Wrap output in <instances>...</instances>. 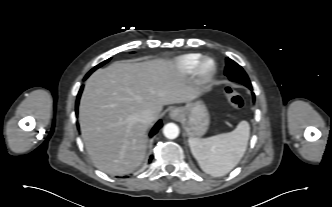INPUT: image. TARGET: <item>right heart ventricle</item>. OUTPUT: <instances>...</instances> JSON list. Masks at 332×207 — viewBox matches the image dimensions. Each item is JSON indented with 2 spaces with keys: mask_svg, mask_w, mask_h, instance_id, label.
Wrapping results in <instances>:
<instances>
[{
  "mask_svg": "<svg viewBox=\"0 0 332 207\" xmlns=\"http://www.w3.org/2000/svg\"><path fill=\"white\" fill-rule=\"evenodd\" d=\"M202 58V55L199 53H190L177 57L174 60L175 68L184 74L191 73L194 71L197 63Z\"/></svg>",
  "mask_w": 332,
  "mask_h": 207,
  "instance_id": "obj_1",
  "label": "right heart ventricle"
}]
</instances>
